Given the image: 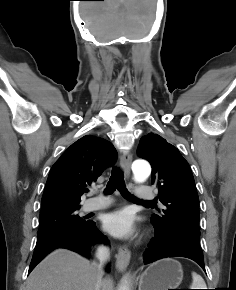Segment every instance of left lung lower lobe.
Here are the masks:
<instances>
[{"instance_id":"obj_1","label":"left lung lower lobe","mask_w":236,"mask_h":290,"mask_svg":"<svg viewBox=\"0 0 236 290\" xmlns=\"http://www.w3.org/2000/svg\"><path fill=\"white\" fill-rule=\"evenodd\" d=\"M153 226L155 236L143 254L145 264L166 257H186L205 270L200 240L186 233L173 234L166 228Z\"/></svg>"}]
</instances>
